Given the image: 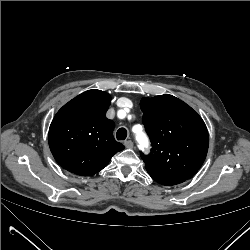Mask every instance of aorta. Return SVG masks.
<instances>
[{"label": "aorta", "instance_id": "762f6f07", "mask_svg": "<svg viewBox=\"0 0 250 250\" xmlns=\"http://www.w3.org/2000/svg\"><path fill=\"white\" fill-rule=\"evenodd\" d=\"M137 141L139 142V144L141 145L142 148H144L145 146L148 145V138L144 134H139L137 136Z\"/></svg>", "mask_w": 250, "mask_h": 250}]
</instances>
